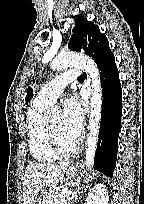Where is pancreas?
<instances>
[{"instance_id":"pancreas-1","label":"pancreas","mask_w":144,"mask_h":204,"mask_svg":"<svg viewBox=\"0 0 144 204\" xmlns=\"http://www.w3.org/2000/svg\"><path fill=\"white\" fill-rule=\"evenodd\" d=\"M61 190H51L44 194L42 204H69V196L60 197Z\"/></svg>"}]
</instances>
